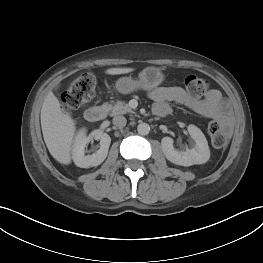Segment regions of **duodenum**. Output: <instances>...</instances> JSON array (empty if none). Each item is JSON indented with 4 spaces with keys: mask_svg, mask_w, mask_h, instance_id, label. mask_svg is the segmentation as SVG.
Wrapping results in <instances>:
<instances>
[{
    "mask_svg": "<svg viewBox=\"0 0 263 263\" xmlns=\"http://www.w3.org/2000/svg\"><path fill=\"white\" fill-rule=\"evenodd\" d=\"M106 108L103 106H92L88 108L85 113L84 117L88 122L95 123L103 120L106 117ZM168 112H163L161 116L167 115Z\"/></svg>",
    "mask_w": 263,
    "mask_h": 263,
    "instance_id": "obj_1",
    "label": "duodenum"
}]
</instances>
